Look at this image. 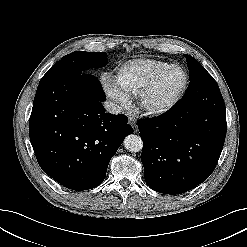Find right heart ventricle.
Instances as JSON below:
<instances>
[{"mask_svg":"<svg viewBox=\"0 0 247 247\" xmlns=\"http://www.w3.org/2000/svg\"><path fill=\"white\" fill-rule=\"evenodd\" d=\"M168 65L162 60L134 59L118 68L114 82L126 95L136 96L158 70Z\"/></svg>","mask_w":247,"mask_h":247,"instance_id":"e07e8e85","label":"right heart ventricle"}]
</instances>
